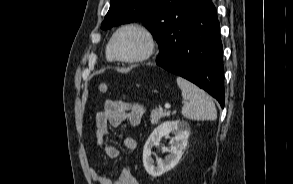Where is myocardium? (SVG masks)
<instances>
[{"label": "myocardium", "mask_w": 293, "mask_h": 184, "mask_svg": "<svg viewBox=\"0 0 293 184\" xmlns=\"http://www.w3.org/2000/svg\"><path fill=\"white\" fill-rule=\"evenodd\" d=\"M134 29L139 31L146 39L145 50L135 57H121L114 50V41L116 37L124 30ZM157 48V42L152 31L144 24L138 22H130L119 27L110 38L108 49L114 60L124 63H139L148 60L153 56Z\"/></svg>", "instance_id": "myocardium-1"}]
</instances>
